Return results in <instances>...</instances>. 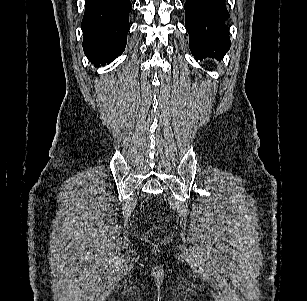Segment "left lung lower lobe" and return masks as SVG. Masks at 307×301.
<instances>
[{"label":"left lung lower lobe","instance_id":"0a47b994","mask_svg":"<svg viewBox=\"0 0 307 301\" xmlns=\"http://www.w3.org/2000/svg\"><path fill=\"white\" fill-rule=\"evenodd\" d=\"M184 8L194 58H223L230 49L229 29L225 24L229 13L225 0H187Z\"/></svg>","mask_w":307,"mask_h":301}]
</instances>
